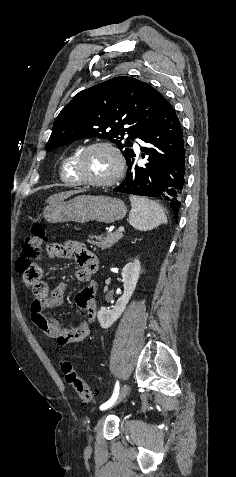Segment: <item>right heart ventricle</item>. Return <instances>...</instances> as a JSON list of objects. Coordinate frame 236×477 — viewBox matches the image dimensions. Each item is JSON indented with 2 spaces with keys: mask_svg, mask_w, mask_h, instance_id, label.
Instances as JSON below:
<instances>
[{
  "mask_svg": "<svg viewBox=\"0 0 236 477\" xmlns=\"http://www.w3.org/2000/svg\"><path fill=\"white\" fill-rule=\"evenodd\" d=\"M81 151V147H76L72 149L63 159L61 166H60V178L63 182L69 185H79L75 173H74V162Z\"/></svg>",
  "mask_w": 236,
  "mask_h": 477,
  "instance_id": "e07e8e85",
  "label": "right heart ventricle"
}]
</instances>
